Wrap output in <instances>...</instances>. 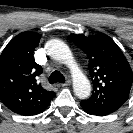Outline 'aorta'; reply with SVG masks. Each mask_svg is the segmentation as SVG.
Instances as JSON below:
<instances>
[{"mask_svg":"<svg viewBox=\"0 0 133 133\" xmlns=\"http://www.w3.org/2000/svg\"><path fill=\"white\" fill-rule=\"evenodd\" d=\"M46 49L51 58L68 65L71 69L75 95L80 99L89 97L91 92L90 82L78 67L69 47L59 39H51L46 43Z\"/></svg>","mask_w":133,"mask_h":133,"instance_id":"obj_1","label":"aorta"}]
</instances>
